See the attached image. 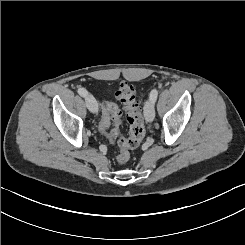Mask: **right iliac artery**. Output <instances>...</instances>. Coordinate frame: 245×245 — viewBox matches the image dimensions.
I'll list each match as a JSON object with an SVG mask.
<instances>
[{
  "instance_id": "1",
  "label": "right iliac artery",
  "mask_w": 245,
  "mask_h": 245,
  "mask_svg": "<svg viewBox=\"0 0 245 245\" xmlns=\"http://www.w3.org/2000/svg\"><path fill=\"white\" fill-rule=\"evenodd\" d=\"M78 93H79V95L82 96V97H85V96L88 94L87 90L84 89V88H79V89H78Z\"/></svg>"
}]
</instances>
